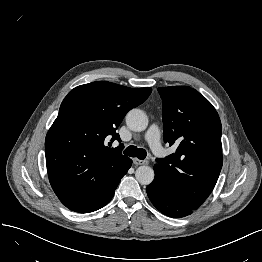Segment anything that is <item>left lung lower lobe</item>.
I'll list each match as a JSON object with an SVG mask.
<instances>
[{
	"instance_id": "0a47b994",
	"label": "left lung lower lobe",
	"mask_w": 262,
	"mask_h": 262,
	"mask_svg": "<svg viewBox=\"0 0 262 262\" xmlns=\"http://www.w3.org/2000/svg\"><path fill=\"white\" fill-rule=\"evenodd\" d=\"M152 204L163 214L172 218H181L193 213L194 210L184 206L166 191L155 174L154 181L146 188Z\"/></svg>"
}]
</instances>
